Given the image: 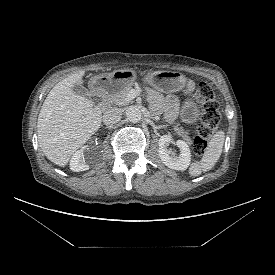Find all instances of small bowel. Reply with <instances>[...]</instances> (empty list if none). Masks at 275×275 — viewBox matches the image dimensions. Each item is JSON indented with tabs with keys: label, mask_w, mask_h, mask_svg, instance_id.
<instances>
[{
	"label": "small bowel",
	"mask_w": 275,
	"mask_h": 275,
	"mask_svg": "<svg viewBox=\"0 0 275 275\" xmlns=\"http://www.w3.org/2000/svg\"><path fill=\"white\" fill-rule=\"evenodd\" d=\"M194 85L192 81L185 82V93L190 94L193 91ZM148 95L150 99L154 102L156 106L162 107L166 113V116L169 120H173L175 118L178 102L174 96H167L165 98H160L156 92L153 90L148 91Z\"/></svg>",
	"instance_id": "c3829d8e"
}]
</instances>
